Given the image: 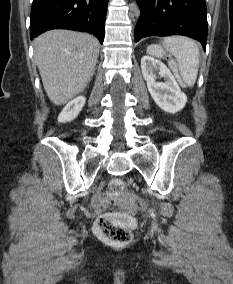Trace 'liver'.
Wrapping results in <instances>:
<instances>
[{"label":"liver","instance_id":"1","mask_svg":"<svg viewBox=\"0 0 233 284\" xmlns=\"http://www.w3.org/2000/svg\"><path fill=\"white\" fill-rule=\"evenodd\" d=\"M98 54V40L87 33L51 30L35 39V61L52 103L64 105L87 87Z\"/></svg>","mask_w":233,"mask_h":284}]
</instances>
